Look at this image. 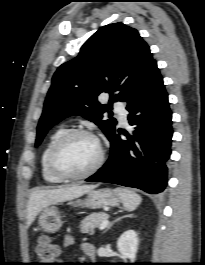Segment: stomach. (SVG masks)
<instances>
[{
    "label": "stomach",
    "instance_id": "0dacf381",
    "mask_svg": "<svg viewBox=\"0 0 205 265\" xmlns=\"http://www.w3.org/2000/svg\"><path fill=\"white\" fill-rule=\"evenodd\" d=\"M121 203L118 194L109 188L91 190L84 200L71 202L73 206H83L98 209L104 206L116 207ZM39 225L47 233H56L62 226L60 214L56 207L50 206L42 210Z\"/></svg>",
    "mask_w": 205,
    "mask_h": 265
}]
</instances>
